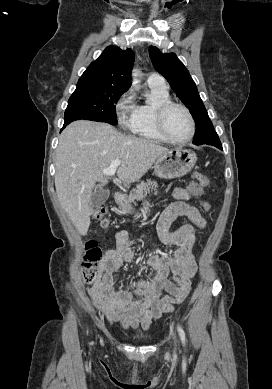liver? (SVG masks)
Segmentation results:
<instances>
[{"label": "liver", "mask_w": 272, "mask_h": 389, "mask_svg": "<svg viewBox=\"0 0 272 389\" xmlns=\"http://www.w3.org/2000/svg\"><path fill=\"white\" fill-rule=\"evenodd\" d=\"M166 151L154 141L126 136L107 123L78 120L68 125L56 149L55 187L60 205L78 232L83 236L88 232L96 183L108 182L104 169L120 159L118 178L133 183Z\"/></svg>", "instance_id": "obj_1"}]
</instances>
